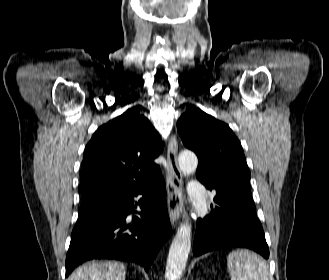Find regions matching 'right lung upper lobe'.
I'll list each match as a JSON object with an SVG mask.
<instances>
[{
	"mask_svg": "<svg viewBox=\"0 0 329 280\" xmlns=\"http://www.w3.org/2000/svg\"><path fill=\"white\" fill-rule=\"evenodd\" d=\"M162 148L158 132L138 111L128 110L100 126L84 151L82 200L104 190L145 184L161 177L154 159Z\"/></svg>",
	"mask_w": 329,
	"mask_h": 280,
	"instance_id": "obj_1",
	"label": "right lung upper lobe"
}]
</instances>
